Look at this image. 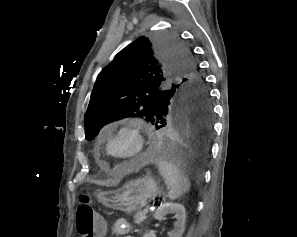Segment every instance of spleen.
<instances>
[{
	"mask_svg": "<svg viewBox=\"0 0 297 237\" xmlns=\"http://www.w3.org/2000/svg\"><path fill=\"white\" fill-rule=\"evenodd\" d=\"M156 164L161 176L164 178L165 184L170 188L168 197L171 200H176L189 191L190 181L175 163L159 159Z\"/></svg>",
	"mask_w": 297,
	"mask_h": 237,
	"instance_id": "3e777b00",
	"label": "spleen"
}]
</instances>
